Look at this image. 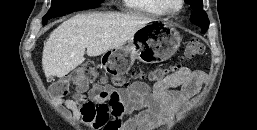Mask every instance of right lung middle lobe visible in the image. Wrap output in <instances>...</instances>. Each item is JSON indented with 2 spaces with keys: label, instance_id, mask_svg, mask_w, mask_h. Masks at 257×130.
<instances>
[{
  "label": "right lung middle lobe",
  "instance_id": "right-lung-middle-lobe-1",
  "mask_svg": "<svg viewBox=\"0 0 257 130\" xmlns=\"http://www.w3.org/2000/svg\"><path fill=\"white\" fill-rule=\"evenodd\" d=\"M103 0H52L51 8L43 17V24L56 16H62L73 11L98 7Z\"/></svg>",
  "mask_w": 257,
  "mask_h": 130
}]
</instances>
